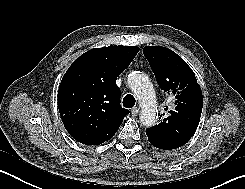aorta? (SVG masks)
<instances>
[{"label": "aorta", "mask_w": 245, "mask_h": 189, "mask_svg": "<svg viewBox=\"0 0 245 189\" xmlns=\"http://www.w3.org/2000/svg\"><path fill=\"white\" fill-rule=\"evenodd\" d=\"M128 85L141 105L140 122L147 127L153 126L157 119L156 95L149 77L140 71L128 75Z\"/></svg>", "instance_id": "obj_1"}]
</instances>
